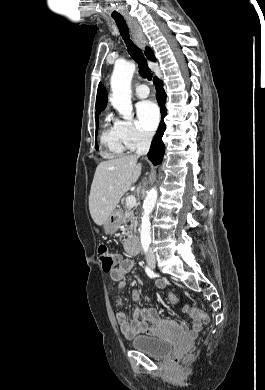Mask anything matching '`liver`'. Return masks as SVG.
<instances>
[{
    "label": "liver",
    "instance_id": "1",
    "mask_svg": "<svg viewBox=\"0 0 265 390\" xmlns=\"http://www.w3.org/2000/svg\"><path fill=\"white\" fill-rule=\"evenodd\" d=\"M138 156L128 155L100 162L96 168L89 195V210L93 221L103 225L122 196L135 183L142 169Z\"/></svg>",
    "mask_w": 265,
    "mask_h": 390
}]
</instances>
